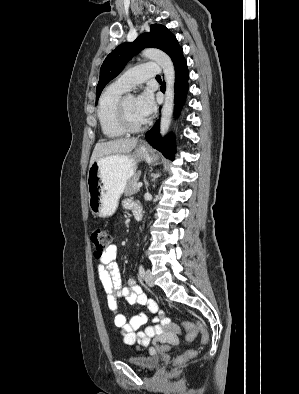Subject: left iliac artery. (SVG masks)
<instances>
[{
  "label": "left iliac artery",
  "instance_id": "left-iliac-artery-1",
  "mask_svg": "<svg viewBox=\"0 0 299 394\" xmlns=\"http://www.w3.org/2000/svg\"><path fill=\"white\" fill-rule=\"evenodd\" d=\"M139 276L141 278H144V276H145V269H144L143 265L139 266Z\"/></svg>",
  "mask_w": 299,
  "mask_h": 394
}]
</instances>
